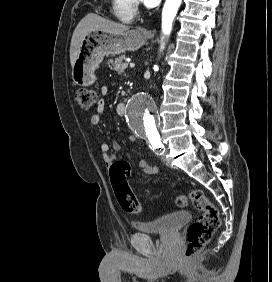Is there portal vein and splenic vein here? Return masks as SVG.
Wrapping results in <instances>:
<instances>
[{"instance_id": "1", "label": "portal vein and splenic vein", "mask_w": 272, "mask_h": 282, "mask_svg": "<svg viewBox=\"0 0 272 282\" xmlns=\"http://www.w3.org/2000/svg\"><path fill=\"white\" fill-rule=\"evenodd\" d=\"M130 68H134L135 67V64L134 63H130Z\"/></svg>"}]
</instances>
